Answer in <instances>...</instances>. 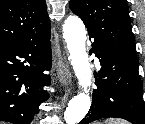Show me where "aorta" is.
Listing matches in <instances>:
<instances>
[{"label": "aorta", "mask_w": 145, "mask_h": 124, "mask_svg": "<svg viewBox=\"0 0 145 124\" xmlns=\"http://www.w3.org/2000/svg\"><path fill=\"white\" fill-rule=\"evenodd\" d=\"M86 28L77 16H69L63 24V37L66 41L72 68L82 88L68 103L64 113L66 124H78L88 113L91 100L89 96L92 72L86 52Z\"/></svg>", "instance_id": "aorta-1"}]
</instances>
